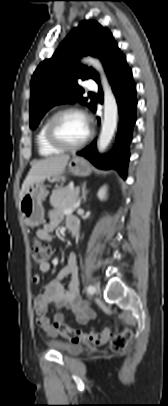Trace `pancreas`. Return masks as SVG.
I'll list each match as a JSON object with an SVG mask.
<instances>
[{
  "mask_svg": "<svg viewBox=\"0 0 168 406\" xmlns=\"http://www.w3.org/2000/svg\"><path fill=\"white\" fill-rule=\"evenodd\" d=\"M78 194L71 186L57 189L50 196V204L57 210L64 211L76 204Z\"/></svg>",
  "mask_w": 168,
  "mask_h": 406,
  "instance_id": "cf45deb5",
  "label": "pancreas"
}]
</instances>
